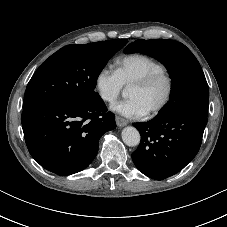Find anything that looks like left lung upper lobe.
I'll list each match as a JSON object with an SVG mask.
<instances>
[{"mask_svg":"<svg viewBox=\"0 0 227 227\" xmlns=\"http://www.w3.org/2000/svg\"><path fill=\"white\" fill-rule=\"evenodd\" d=\"M125 53L140 52L163 63L172 79L170 101L158 117L189 112L208 115L209 89L199 62L182 43L173 40H136Z\"/></svg>","mask_w":227,"mask_h":227,"instance_id":"5c2ea615","label":"left lung upper lobe"}]
</instances>
